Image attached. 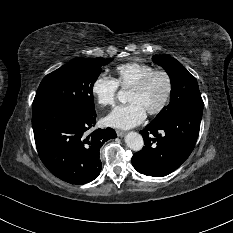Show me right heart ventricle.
Masks as SVG:
<instances>
[{"label": "right heart ventricle", "instance_id": "right-heart-ventricle-1", "mask_svg": "<svg viewBox=\"0 0 233 233\" xmlns=\"http://www.w3.org/2000/svg\"><path fill=\"white\" fill-rule=\"evenodd\" d=\"M153 70H155L153 66L142 62L124 63L116 67L115 80L122 88H132Z\"/></svg>", "mask_w": 233, "mask_h": 233}]
</instances>
